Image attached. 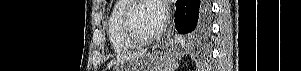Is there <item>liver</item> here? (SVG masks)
Instances as JSON below:
<instances>
[{"mask_svg":"<svg viewBox=\"0 0 301 71\" xmlns=\"http://www.w3.org/2000/svg\"><path fill=\"white\" fill-rule=\"evenodd\" d=\"M146 53L145 50L139 51V52H134V53H129V54H121L118 55L115 59H113L108 65L107 68L109 69L112 66L117 65L120 62H124L126 60H132L136 59Z\"/></svg>","mask_w":301,"mask_h":71,"instance_id":"1","label":"liver"}]
</instances>
